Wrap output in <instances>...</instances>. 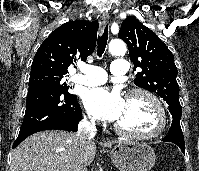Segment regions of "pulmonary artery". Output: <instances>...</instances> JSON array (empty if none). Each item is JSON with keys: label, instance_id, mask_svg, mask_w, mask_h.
Segmentation results:
<instances>
[{"label": "pulmonary artery", "instance_id": "1", "mask_svg": "<svg viewBox=\"0 0 199 171\" xmlns=\"http://www.w3.org/2000/svg\"><path fill=\"white\" fill-rule=\"evenodd\" d=\"M110 72L115 76H122L127 72V62L116 59L110 66ZM107 80V73L100 67L94 65H82L80 73L73 76V81L86 86L103 84Z\"/></svg>", "mask_w": 199, "mask_h": 171}]
</instances>
